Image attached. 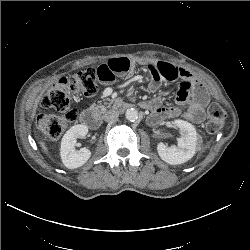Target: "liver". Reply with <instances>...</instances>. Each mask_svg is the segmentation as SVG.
Returning a JSON list of instances; mask_svg holds the SVG:
<instances>
[{"instance_id":"liver-1","label":"liver","mask_w":250,"mask_h":250,"mask_svg":"<svg viewBox=\"0 0 250 250\" xmlns=\"http://www.w3.org/2000/svg\"><path fill=\"white\" fill-rule=\"evenodd\" d=\"M40 145H41L42 149L44 150V152L47 154L48 153V149H47L45 143L43 141H40Z\"/></svg>"}]
</instances>
